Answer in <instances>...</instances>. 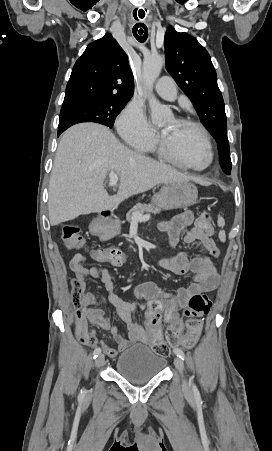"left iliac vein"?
Wrapping results in <instances>:
<instances>
[{
	"instance_id": "left-iliac-vein-1",
	"label": "left iliac vein",
	"mask_w": 272,
	"mask_h": 451,
	"mask_svg": "<svg viewBox=\"0 0 272 451\" xmlns=\"http://www.w3.org/2000/svg\"><path fill=\"white\" fill-rule=\"evenodd\" d=\"M174 364H175V366H176L178 372L180 373V375H181V377H182L183 387H184L185 389H188V388H189V385H188L187 381L185 380V378H184V376H183V373H184V366H183L182 360H181L179 357H177V358H175V360H174Z\"/></svg>"
}]
</instances>
